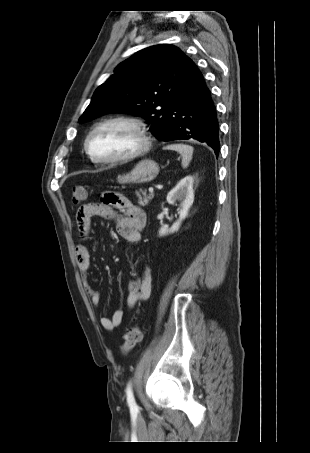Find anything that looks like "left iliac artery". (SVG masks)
Wrapping results in <instances>:
<instances>
[{"mask_svg":"<svg viewBox=\"0 0 310 453\" xmlns=\"http://www.w3.org/2000/svg\"><path fill=\"white\" fill-rule=\"evenodd\" d=\"M126 394H127V402H128V406L130 407V410L131 411H138V406H137V404L135 402V399H134V396H133L131 382H129L128 385H127Z\"/></svg>","mask_w":310,"mask_h":453,"instance_id":"left-iliac-artery-1","label":"left iliac artery"}]
</instances>
